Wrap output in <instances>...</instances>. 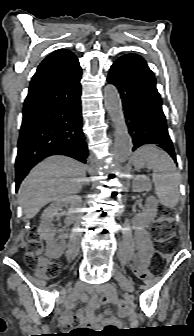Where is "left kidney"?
Listing matches in <instances>:
<instances>
[{"instance_id": "1", "label": "left kidney", "mask_w": 194, "mask_h": 336, "mask_svg": "<svg viewBox=\"0 0 194 336\" xmlns=\"http://www.w3.org/2000/svg\"><path fill=\"white\" fill-rule=\"evenodd\" d=\"M132 189L134 192L150 191L152 184L149 177L145 175L136 176L133 180ZM157 210V200L153 196L148 197L144 211L135 217L133 223L142 227L147 226L155 219Z\"/></svg>"}]
</instances>
